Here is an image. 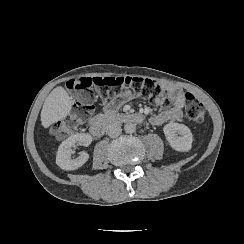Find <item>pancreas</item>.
Wrapping results in <instances>:
<instances>
[{"label": "pancreas", "mask_w": 244, "mask_h": 244, "mask_svg": "<svg viewBox=\"0 0 244 244\" xmlns=\"http://www.w3.org/2000/svg\"><path fill=\"white\" fill-rule=\"evenodd\" d=\"M104 116H105L106 118H115V117L117 116V114H116L115 112H106V113L104 114Z\"/></svg>", "instance_id": "1"}]
</instances>
